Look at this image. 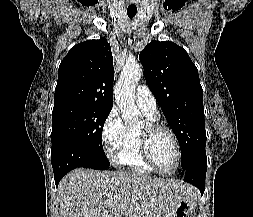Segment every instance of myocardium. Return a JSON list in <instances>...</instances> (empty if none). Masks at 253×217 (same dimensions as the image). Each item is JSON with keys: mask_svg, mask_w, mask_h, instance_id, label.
<instances>
[{"mask_svg": "<svg viewBox=\"0 0 253 217\" xmlns=\"http://www.w3.org/2000/svg\"><path fill=\"white\" fill-rule=\"evenodd\" d=\"M165 131L172 138L175 150H176V164L171 171H164L159 168L156 164L150 150V141L151 138L158 132ZM139 146L140 152L146 163L157 173L161 175H172L177 172L181 164V146L175 132L168 126L156 123V122H147L145 126L139 131Z\"/></svg>", "mask_w": 253, "mask_h": 217, "instance_id": "myocardium-1", "label": "myocardium"}]
</instances>
